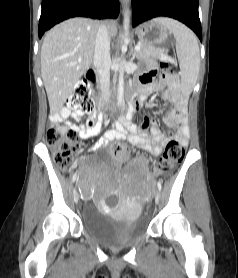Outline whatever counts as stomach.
I'll list each match as a JSON object with an SVG mask.
<instances>
[{
	"mask_svg": "<svg viewBox=\"0 0 238 278\" xmlns=\"http://www.w3.org/2000/svg\"><path fill=\"white\" fill-rule=\"evenodd\" d=\"M136 33L142 43L154 47L164 45L171 34V32L156 19L137 27Z\"/></svg>",
	"mask_w": 238,
	"mask_h": 278,
	"instance_id": "stomach-1",
	"label": "stomach"
}]
</instances>
